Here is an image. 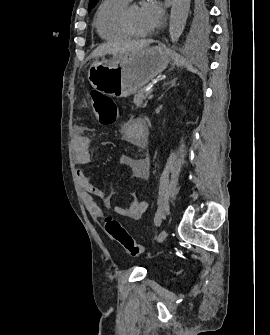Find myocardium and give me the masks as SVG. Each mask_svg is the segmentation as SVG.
Returning a JSON list of instances; mask_svg holds the SVG:
<instances>
[{"label":"myocardium","instance_id":"myocardium-1","mask_svg":"<svg viewBox=\"0 0 270 335\" xmlns=\"http://www.w3.org/2000/svg\"><path fill=\"white\" fill-rule=\"evenodd\" d=\"M128 10H129V7H126L122 13H121V16H120V22H121V25L123 27V29L132 37H140L141 35L138 34V33H135L132 28L130 27L129 23H128V18H127V15H128Z\"/></svg>","mask_w":270,"mask_h":335}]
</instances>
